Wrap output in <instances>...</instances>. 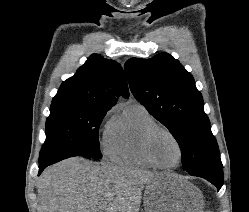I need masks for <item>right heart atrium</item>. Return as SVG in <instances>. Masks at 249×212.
I'll use <instances>...</instances> for the list:
<instances>
[{
    "mask_svg": "<svg viewBox=\"0 0 249 212\" xmlns=\"http://www.w3.org/2000/svg\"><path fill=\"white\" fill-rule=\"evenodd\" d=\"M114 108H111L107 110L102 118V123L106 122V120L110 117V115L113 113Z\"/></svg>",
    "mask_w": 249,
    "mask_h": 212,
    "instance_id": "obj_1",
    "label": "right heart atrium"
}]
</instances>
